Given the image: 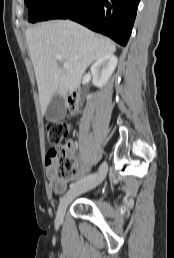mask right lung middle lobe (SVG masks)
Listing matches in <instances>:
<instances>
[{
    "mask_svg": "<svg viewBox=\"0 0 174 258\" xmlns=\"http://www.w3.org/2000/svg\"><path fill=\"white\" fill-rule=\"evenodd\" d=\"M52 1L53 0H25L26 4L29 6L28 21L31 23L41 21Z\"/></svg>",
    "mask_w": 174,
    "mask_h": 258,
    "instance_id": "obj_1",
    "label": "right lung middle lobe"
}]
</instances>
